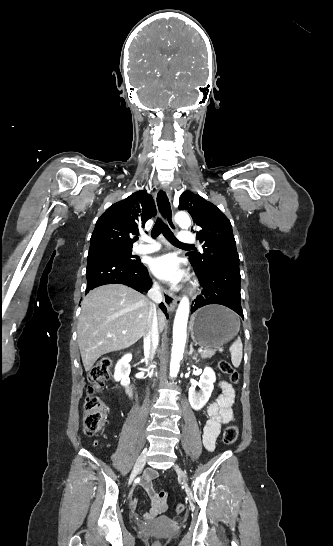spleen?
<instances>
[{"instance_id": "3e777b00", "label": "spleen", "mask_w": 333, "mask_h": 546, "mask_svg": "<svg viewBox=\"0 0 333 546\" xmlns=\"http://www.w3.org/2000/svg\"><path fill=\"white\" fill-rule=\"evenodd\" d=\"M238 319V330L240 328V321ZM242 342L240 337L236 339V341L230 346V353H231V361L234 367H238L242 360Z\"/></svg>"}]
</instances>
